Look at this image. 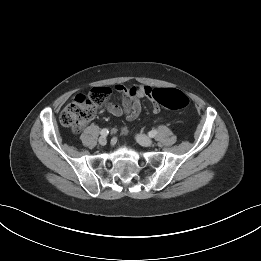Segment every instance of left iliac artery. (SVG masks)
Instances as JSON below:
<instances>
[{"label": "left iliac artery", "instance_id": "obj_1", "mask_svg": "<svg viewBox=\"0 0 261 261\" xmlns=\"http://www.w3.org/2000/svg\"><path fill=\"white\" fill-rule=\"evenodd\" d=\"M156 134H157V130H156V129L151 130V131L148 133L149 137H155Z\"/></svg>", "mask_w": 261, "mask_h": 261}]
</instances>
